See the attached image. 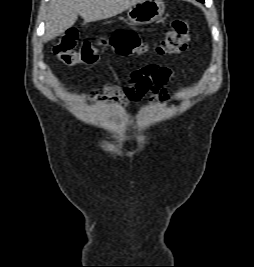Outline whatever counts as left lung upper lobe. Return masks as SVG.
Instances as JSON below:
<instances>
[{
	"label": "left lung upper lobe",
	"instance_id": "left-lung-upper-lobe-1",
	"mask_svg": "<svg viewBox=\"0 0 254 267\" xmlns=\"http://www.w3.org/2000/svg\"><path fill=\"white\" fill-rule=\"evenodd\" d=\"M197 1H200V2H202V3L204 2V0H197Z\"/></svg>",
	"mask_w": 254,
	"mask_h": 267
}]
</instances>
